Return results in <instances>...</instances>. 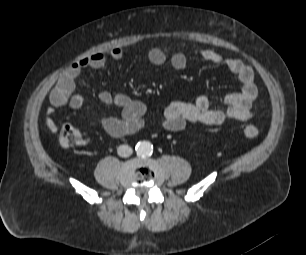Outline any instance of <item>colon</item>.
Returning a JSON list of instances; mask_svg holds the SVG:
<instances>
[{"label": "colon", "instance_id": "colon-1", "mask_svg": "<svg viewBox=\"0 0 306 255\" xmlns=\"http://www.w3.org/2000/svg\"><path fill=\"white\" fill-rule=\"evenodd\" d=\"M244 135L247 138H256L258 136V129L254 125L245 126ZM82 142L80 131L70 124L62 125L59 133V144L62 148L68 149L74 147Z\"/></svg>", "mask_w": 306, "mask_h": 255}]
</instances>
